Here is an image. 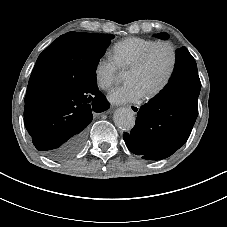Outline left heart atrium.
<instances>
[{
    "instance_id": "1",
    "label": "left heart atrium",
    "mask_w": 227,
    "mask_h": 227,
    "mask_svg": "<svg viewBox=\"0 0 227 227\" xmlns=\"http://www.w3.org/2000/svg\"><path fill=\"white\" fill-rule=\"evenodd\" d=\"M145 96L146 94L136 84L131 83L109 93L108 99L115 104H128L138 103Z\"/></svg>"
}]
</instances>
